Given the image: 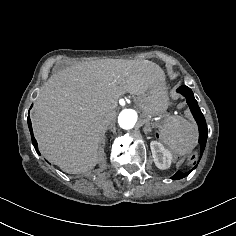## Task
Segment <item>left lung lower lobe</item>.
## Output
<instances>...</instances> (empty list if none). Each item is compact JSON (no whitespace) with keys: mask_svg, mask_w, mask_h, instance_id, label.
I'll list each match as a JSON object with an SVG mask.
<instances>
[{"mask_svg":"<svg viewBox=\"0 0 236 236\" xmlns=\"http://www.w3.org/2000/svg\"><path fill=\"white\" fill-rule=\"evenodd\" d=\"M177 92L181 93L185 96L186 101L190 107V110L198 124L199 128V144H200V158L202 157L203 151L206 146L207 136H208V129L206 125L205 118L203 116V113L201 112L196 99L194 98V94L190 88L183 85L177 89ZM200 159L197 162H194L195 167L191 169L188 172L182 173V172H176V174L172 177L174 180L182 179L190 174L192 170H194L197 167V164L199 163Z\"/></svg>","mask_w":236,"mask_h":236,"instance_id":"obj_1","label":"left lung lower lobe"}]
</instances>
